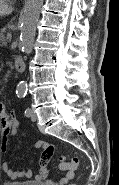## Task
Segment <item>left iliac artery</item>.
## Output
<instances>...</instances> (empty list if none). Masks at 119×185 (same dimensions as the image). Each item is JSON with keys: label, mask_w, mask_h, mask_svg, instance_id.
I'll return each instance as SVG.
<instances>
[{"label": "left iliac artery", "mask_w": 119, "mask_h": 185, "mask_svg": "<svg viewBox=\"0 0 119 185\" xmlns=\"http://www.w3.org/2000/svg\"><path fill=\"white\" fill-rule=\"evenodd\" d=\"M24 113H25L26 116L29 117V115H30V109L29 108L25 109V112Z\"/></svg>", "instance_id": "obj_1"}]
</instances>
